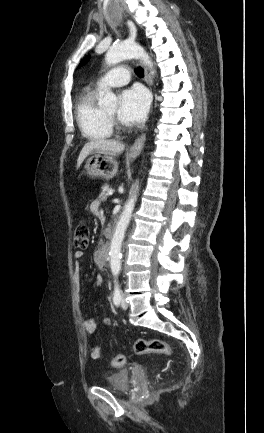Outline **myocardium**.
<instances>
[{"mask_svg":"<svg viewBox=\"0 0 264 433\" xmlns=\"http://www.w3.org/2000/svg\"><path fill=\"white\" fill-rule=\"evenodd\" d=\"M105 113H106V115H107V118H108V120H109L111 126H114V127H116L117 129L121 130L122 127L118 124V122H117L115 116L112 115V114H110V113H108V112H105Z\"/></svg>","mask_w":264,"mask_h":433,"instance_id":"f54148a6","label":"myocardium"}]
</instances>
